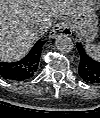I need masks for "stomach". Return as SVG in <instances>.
Here are the masks:
<instances>
[{
  "label": "stomach",
  "instance_id": "1",
  "mask_svg": "<svg viewBox=\"0 0 100 118\" xmlns=\"http://www.w3.org/2000/svg\"><path fill=\"white\" fill-rule=\"evenodd\" d=\"M98 15L91 3L81 6L79 12L74 16L71 27L86 42H92L99 33Z\"/></svg>",
  "mask_w": 100,
  "mask_h": 118
}]
</instances>
